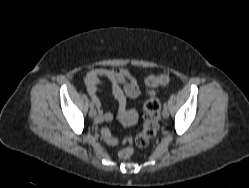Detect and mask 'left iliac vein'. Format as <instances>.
Here are the masks:
<instances>
[{"label": "left iliac vein", "mask_w": 249, "mask_h": 188, "mask_svg": "<svg viewBox=\"0 0 249 188\" xmlns=\"http://www.w3.org/2000/svg\"><path fill=\"white\" fill-rule=\"evenodd\" d=\"M162 116H163V118H165V119L169 117L168 108H163Z\"/></svg>", "instance_id": "obj_1"}]
</instances>
